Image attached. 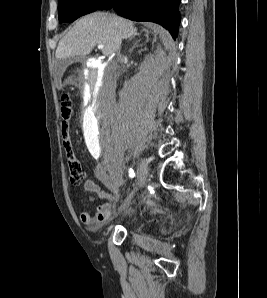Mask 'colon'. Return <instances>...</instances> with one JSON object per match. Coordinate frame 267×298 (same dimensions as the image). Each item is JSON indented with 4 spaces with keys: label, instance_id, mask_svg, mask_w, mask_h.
<instances>
[{
    "label": "colon",
    "instance_id": "obj_1",
    "mask_svg": "<svg viewBox=\"0 0 267 298\" xmlns=\"http://www.w3.org/2000/svg\"><path fill=\"white\" fill-rule=\"evenodd\" d=\"M71 107L70 102L67 99V96H64L62 103V116L64 119H67L70 115ZM63 135V146L67 156L68 170L70 181L74 185H80L85 179V171L82 167L81 162L74 155L70 139L68 137L65 126L62 129Z\"/></svg>",
    "mask_w": 267,
    "mask_h": 298
}]
</instances>
